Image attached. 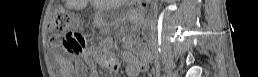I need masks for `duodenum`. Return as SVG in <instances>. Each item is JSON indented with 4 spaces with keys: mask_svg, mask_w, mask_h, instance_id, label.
<instances>
[{
    "mask_svg": "<svg viewBox=\"0 0 258 77\" xmlns=\"http://www.w3.org/2000/svg\"><path fill=\"white\" fill-rule=\"evenodd\" d=\"M137 3H142L141 1H139V2H137ZM139 11V10H138ZM104 20H105V18H104Z\"/></svg>",
    "mask_w": 258,
    "mask_h": 77,
    "instance_id": "duodenum-1",
    "label": "duodenum"
}]
</instances>
